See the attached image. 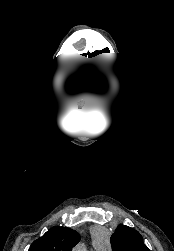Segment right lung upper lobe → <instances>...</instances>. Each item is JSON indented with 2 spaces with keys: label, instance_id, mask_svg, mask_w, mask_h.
Masks as SVG:
<instances>
[{
  "label": "right lung upper lobe",
  "instance_id": "1",
  "mask_svg": "<svg viewBox=\"0 0 174 251\" xmlns=\"http://www.w3.org/2000/svg\"><path fill=\"white\" fill-rule=\"evenodd\" d=\"M79 240L80 236L75 230L55 226L35 240L29 251H72Z\"/></svg>",
  "mask_w": 174,
  "mask_h": 251
}]
</instances>
